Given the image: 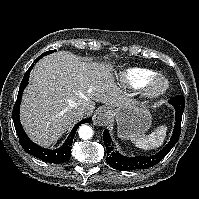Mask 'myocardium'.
<instances>
[{"mask_svg":"<svg viewBox=\"0 0 199 199\" xmlns=\"http://www.w3.org/2000/svg\"><path fill=\"white\" fill-rule=\"evenodd\" d=\"M170 88L169 81L162 75L156 74L144 86L145 95L156 98L164 95Z\"/></svg>","mask_w":199,"mask_h":199,"instance_id":"1","label":"myocardium"}]
</instances>
